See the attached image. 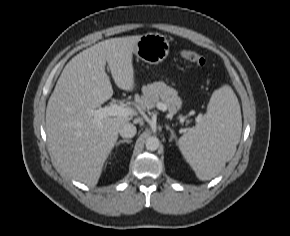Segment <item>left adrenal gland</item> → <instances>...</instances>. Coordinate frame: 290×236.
<instances>
[{
  "label": "left adrenal gland",
  "mask_w": 290,
  "mask_h": 236,
  "mask_svg": "<svg viewBox=\"0 0 290 236\" xmlns=\"http://www.w3.org/2000/svg\"><path fill=\"white\" fill-rule=\"evenodd\" d=\"M166 129L169 130L171 133L169 141L171 142L173 139L176 140L177 138H176L174 131L168 125H166Z\"/></svg>",
  "instance_id": "a2214340"
}]
</instances>
